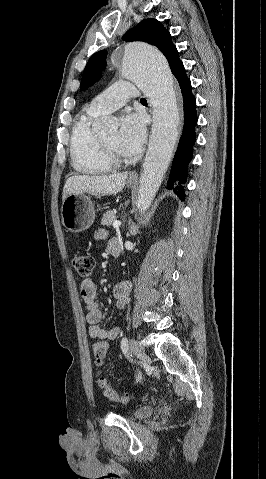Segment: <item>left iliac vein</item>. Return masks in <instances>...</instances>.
I'll return each mask as SVG.
<instances>
[{
	"label": "left iliac vein",
	"instance_id": "obj_1",
	"mask_svg": "<svg viewBox=\"0 0 266 479\" xmlns=\"http://www.w3.org/2000/svg\"><path fill=\"white\" fill-rule=\"evenodd\" d=\"M130 350H131V352H132L134 355H136L137 357L142 358V357L145 356V351H144L142 345H141L138 341H136V340H134V339H132V340L130 341Z\"/></svg>",
	"mask_w": 266,
	"mask_h": 479
}]
</instances>
